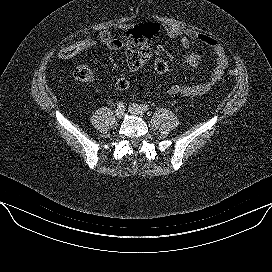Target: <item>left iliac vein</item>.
<instances>
[{"label":"left iliac vein","mask_w":272,"mask_h":272,"mask_svg":"<svg viewBox=\"0 0 272 272\" xmlns=\"http://www.w3.org/2000/svg\"><path fill=\"white\" fill-rule=\"evenodd\" d=\"M128 110L130 113L140 116V117H143L144 113H145L143 108L140 105L135 104V103L130 104Z\"/></svg>","instance_id":"4c4485c4"}]
</instances>
